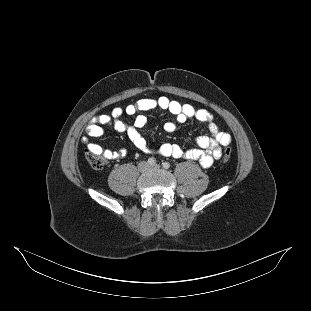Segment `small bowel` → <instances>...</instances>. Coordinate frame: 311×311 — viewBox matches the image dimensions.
<instances>
[{
	"label": "small bowel",
	"instance_id": "small-bowel-1",
	"mask_svg": "<svg viewBox=\"0 0 311 311\" xmlns=\"http://www.w3.org/2000/svg\"><path fill=\"white\" fill-rule=\"evenodd\" d=\"M162 109L171 113L175 121H167L164 124V130L172 133L176 129V124L186 122L188 119H196L205 123L210 135L199 136L196 139L198 148L183 150L177 144L164 143L157 149L149 147L146 139L141 134V129L147 123V117L141 112ZM133 124H127L123 118L125 116L136 115ZM112 127L119 133H124L136 148L147 153L157 154L177 159L198 161L203 167H210L216 160L222 156V146L231 142V136L221 131L213 120V116L205 109H198L190 104H182L176 100H171L165 96L158 98H144L126 107H116L110 114L95 115L85 128V136L82 137V143L88 150L99 152L105 155L107 159L121 158L126 155V150L110 151L103 149L100 145L90 141V138L101 137L105 133V127Z\"/></svg>",
	"mask_w": 311,
	"mask_h": 311
}]
</instances>
